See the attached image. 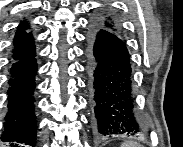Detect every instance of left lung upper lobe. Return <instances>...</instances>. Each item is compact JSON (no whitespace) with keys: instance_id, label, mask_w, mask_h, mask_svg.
<instances>
[{"instance_id":"left-lung-upper-lobe-1","label":"left lung upper lobe","mask_w":183,"mask_h":147,"mask_svg":"<svg viewBox=\"0 0 183 147\" xmlns=\"http://www.w3.org/2000/svg\"><path fill=\"white\" fill-rule=\"evenodd\" d=\"M94 24L100 28L109 30L120 36L118 25L111 16L105 15L103 17H99L94 21Z\"/></svg>"}]
</instances>
